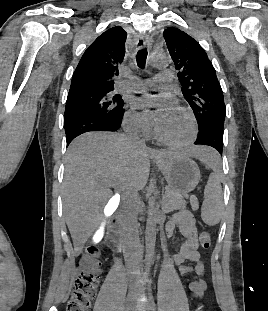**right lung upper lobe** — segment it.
<instances>
[{
    "label": "right lung upper lobe",
    "instance_id": "cb5924a9",
    "mask_svg": "<svg viewBox=\"0 0 268 311\" xmlns=\"http://www.w3.org/2000/svg\"><path fill=\"white\" fill-rule=\"evenodd\" d=\"M127 33L115 26L101 34L84 52L73 74L70 90H114L113 77L125 55Z\"/></svg>",
    "mask_w": 268,
    "mask_h": 311
}]
</instances>
